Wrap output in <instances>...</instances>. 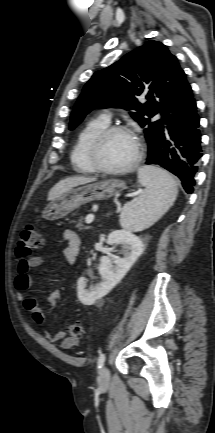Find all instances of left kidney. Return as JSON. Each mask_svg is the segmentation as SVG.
Instances as JSON below:
<instances>
[{
	"instance_id": "left-kidney-1",
	"label": "left kidney",
	"mask_w": 215,
	"mask_h": 433,
	"mask_svg": "<svg viewBox=\"0 0 215 433\" xmlns=\"http://www.w3.org/2000/svg\"><path fill=\"white\" fill-rule=\"evenodd\" d=\"M109 245L120 244L124 248V257L111 260L102 256L99 273L102 281L93 289H86V278L80 277L77 281V296L84 305H92L96 300L109 293L125 276L134 262L144 251V244L140 237L129 230H115L108 236Z\"/></svg>"
}]
</instances>
